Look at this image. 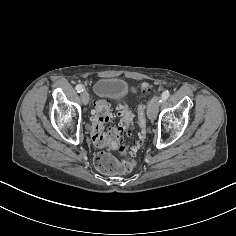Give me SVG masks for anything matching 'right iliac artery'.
<instances>
[{"label": "right iliac artery", "instance_id": "82829eb1", "mask_svg": "<svg viewBox=\"0 0 236 236\" xmlns=\"http://www.w3.org/2000/svg\"><path fill=\"white\" fill-rule=\"evenodd\" d=\"M76 90H77V92L80 93V92H83L84 88L81 84H79V85L76 86Z\"/></svg>", "mask_w": 236, "mask_h": 236}]
</instances>
